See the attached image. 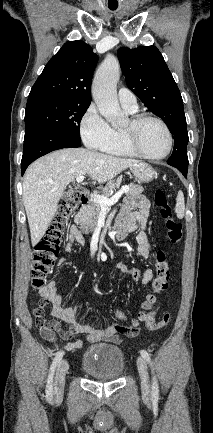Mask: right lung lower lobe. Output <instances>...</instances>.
Listing matches in <instances>:
<instances>
[{"label": "right lung lower lobe", "mask_w": 213, "mask_h": 433, "mask_svg": "<svg viewBox=\"0 0 213 433\" xmlns=\"http://www.w3.org/2000/svg\"><path fill=\"white\" fill-rule=\"evenodd\" d=\"M73 147H80V142L54 130L45 127L26 130L21 161L22 175L33 160L57 149Z\"/></svg>", "instance_id": "right-lung-lower-lobe-1"}]
</instances>
